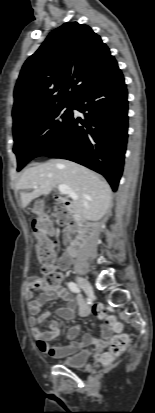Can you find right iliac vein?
<instances>
[{
    "label": "right iliac vein",
    "mask_w": 155,
    "mask_h": 413,
    "mask_svg": "<svg viewBox=\"0 0 155 413\" xmlns=\"http://www.w3.org/2000/svg\"><path fill=\"white\" fill-rule=\"evenodd\" d=\"M77 282L81 286V288L87 293L88 296L93 295V287L86 279L82 277H77Z\"/></svg>",
    "instance_id": "63e3f726"
}]
</instances>
